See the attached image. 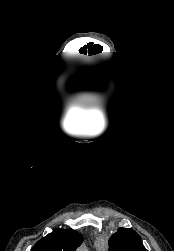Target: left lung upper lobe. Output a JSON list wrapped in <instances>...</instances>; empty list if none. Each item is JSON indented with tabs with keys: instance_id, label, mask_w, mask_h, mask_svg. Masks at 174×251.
Masks as SVG:
<instances>
[{
	"instance_id": "5c2ea615",
	"label": "left lung upper lobe",
	"mask_w": 174,
	"mask_h": 251,
	"mask_svg": "<svg viewBox=\"0 0 174 251\" xmlns=\"http://www.w3.org/2000/svg\"><path fill=\"white\" fill-rule=\"evenodd\" d=\"M109 251H147V249L134 230L119 228L109 239Z\"/></svg>"
}]
</instances>
